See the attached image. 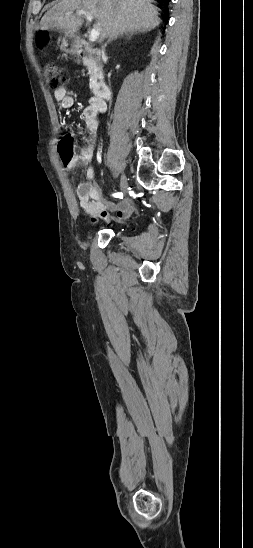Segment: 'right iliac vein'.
Listing matches in <instances>:
<instances>
[{
  "instance_id": "right-iliac-vein-1",
  "label": "right iliac vein",
  "mask_w": 253,
  "mask_h": 548,
  "mask_svg": "<svg viewBox=\"0 0 253 548\" xmlns=\"http://www.w3.org/2000/svg\"><path fill=\"white\" fill-rule=\"evenodd\" d=\"M127 187H128L127 177H126L125 174H123L122 177H121V182H120V189H121L122 193L126 194Z\"/></svg>"
}]
</instances>
